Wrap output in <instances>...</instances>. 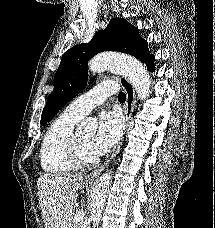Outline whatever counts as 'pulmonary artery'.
I'll list each match as a JSON object with an SVG mask.
<instances>
[{
  "mask_svg": "<svg viewBox=\"0 0 215 228\" xmlns=\"http://www.w3.org/2000/svg\"><path fill=\"white\" fill-rule=\"evenodd\" d=\"M115 89H121L119 82L98 84L94 89L70 102L67 110L78 117H83L94 107L103 104L108 96L115 93Z\"/></svg>",
  "mask_w": 215,
  "mask_h": 228,
  "instance_id": "e3ab8cb5",
  "label": "pulmonary artery"
}]
</instances>
